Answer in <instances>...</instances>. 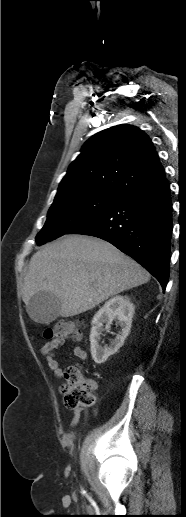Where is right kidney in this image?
<instances>
[{"mask_svg":"<svg viewBox=\"0 0 186 517\" xmlns=\"http://www.w3.org/2000/svg\"><path fill=\"white\" fill-rule=\"evenodd\" d=\"M135 312L133 303L127 296H115L109 299L92 319L90 333L91 355L95 363H104L109 356L115 354L123 346L126 337L129 335L132 318ZM117 319L121 326V331L109 346L102 347L99 342L100 335L104 330H109L112 321ZM103 324H106L105 329Z\"/></svg>","mask_w":186,"mask_h":517,"instance_id":"obj_1","label":"right kidney"}]
</instances>
